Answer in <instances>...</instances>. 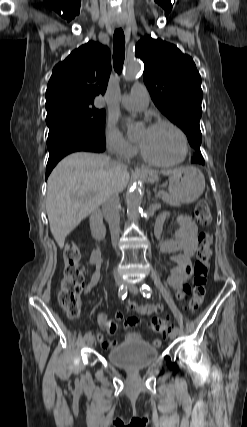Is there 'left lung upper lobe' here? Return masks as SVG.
I'll return each instance as SVG.
<instances>
[{
    "label": "left lung upper lobe",
    "mask_w": 247,
    "mask_h": 427,
    "mask_svg": "<svg viewBox=\"0 0 247 427\" xmlns=\"http://www.w3.org/2000/svg\"><path fill=\"white\" fill-rule=\"evenodd\" d=\"M135 56L144 62L143 78L153 102L185 132L194 152L201 155L203 93L193 59L175 45L150 36L137 43Z\"/></svg>",
    "instance_id": "1"
}]
</instances>
